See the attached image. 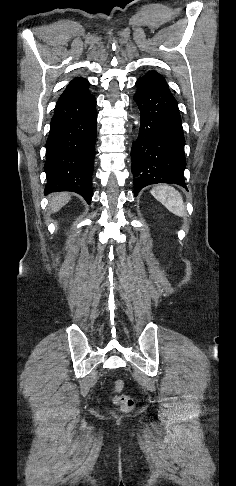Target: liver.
<instances>
[{
    "mask_svg": "<svg viewBox=\"0 0 236 486\" xmlns=\"http://www.w3.org/2000/svg\"><path fill=\"white\" fill-rule=\"evenodd\" d=\"M70 200H71V196L68 193L53 194L49 202L51 212L52 213L58 212Z\"/></svg>",
    "mask_w": 236,
    "mask_h": 486,
    "instance_id": "1",
    "label": "liver"
}]
</instances>
